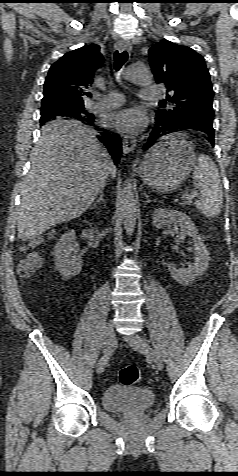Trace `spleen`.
<instances>
[{
  "mask_svg": "<svg viewBox=\"0 0 238 476\" xmlns=\"http://www.w3.org/2000/svg\"><path fill=\"white\" fill-rule=\"evenodd\" d=\"M193 178L201 194L196 207L207 217H217L223 205V191L218 168L209 156L199 155Z\"/></svg>",
  "mask_w": 238,
  "mask_h": 476,
  "instance_id": "3e777b00",
  "label": "spleen"
}]
</instances>
